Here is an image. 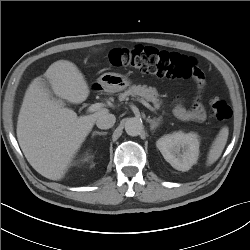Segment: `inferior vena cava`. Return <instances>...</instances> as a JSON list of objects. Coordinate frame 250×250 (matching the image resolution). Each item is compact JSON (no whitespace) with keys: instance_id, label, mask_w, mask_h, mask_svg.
<instances>
[{"instance_id":"602c4592","label":"inferior vena cava","mask_w":250,"mask_h":250,"mask_svg":"<svg viewBox=\"0 0 250 250\" xmlns=\"http://www.w3.org/2000/svg\"><path fill=\"white\" fill-rule=\"evenodd\" d=\"M116 122V117L113 114L106 113L99 116L96 120V125L100 129H109Z\"/></svg>"}]
</instances>
